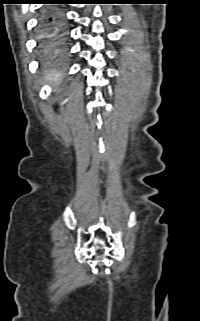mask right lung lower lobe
<instances>
[{
  "label": "right lung lower lobe",
  "mask_w": 200,
  "mask_h": 321,
  "mask_svg": "<svg viewBox=\"0 0 200 321\" xmlns=\"http://www.w3.org/2000/svg\"><path fill=\"white\" fill-rule=\"evenodd\" d=\"M45 3H63V0H44ZM42 24L48 33L51 42L60 44L64 40V28L61 14L55 7H47L44 10Z\"/></svg>",
  "instance_id": "98d812e1"
}]
</instances>
